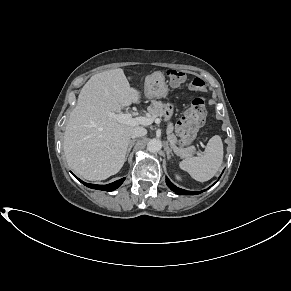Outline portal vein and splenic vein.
<instances>
[{
  "label": "portal vein and splenic vein",
  "mask_w": 291,
  "mask_h": 291,
  "mask_svg": "<svg viewBox=\"0 0 291 291\" xmlns=\"http://www.w3.org/2000/svg\"><path fill=\"white\" fill-rule=\"evenodd\" d=\"M107 114L109 117L116 119L120 123H125V124H129L132 126H136V125L148 126V125L152 124L153 121L157 124H160V122H161V120L159 118L153 119V118L143 117V116L132 118V115L129 113L116 114L113 112H108Z\"/></svg>",
  "instance_id": "portal-vein-and-splenic-vein-1"
}]
</instances>
